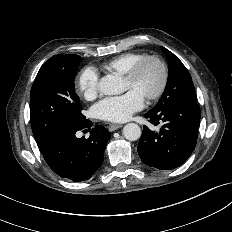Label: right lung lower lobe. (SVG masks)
I'll return each instance as SVG.
<instances>
[{
  "instance_id": "obj_1",
  "label": "right lung lower lobe",
  "mask_w": 232,
  "mask_h": 232,
  "mask_svg": "<svg viewBox=\"0 0 232 232\" xmlns=\"http://www.w3.org/2000/svg\"><path fill=\"white\" fill-rule=\"evenodd\" d=\"M92 125L86 120L81 126L60 130L42 153L49 167L60 177L84 181L102 165L110 133L103 126L91 128ZM79 130L90 131L89 138H77L75 133Z\"/></svg>"
}]
</instances>
